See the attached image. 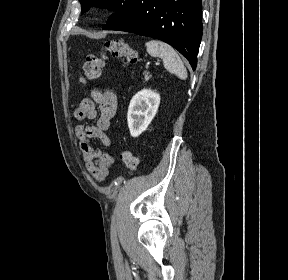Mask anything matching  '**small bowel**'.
<instances>
[{"label": "small bowel", "instance_id": "small-bowel-1", "mask_svg": "<svg viewBox=\"0 0 288 280\" xmlns=\"http://www.w3.org/2000/svg\"><path fill=\"white\" fill-rule=\"evenodd\" d=\"M96 106L99 109V115ZM117 112V97L108 90H93L90 97L83 98L75 110L78 121L97 120L96 125L79 124L76 134L87 171L97 181L104 180L113 166L115 159L109 152L113 142L107 135L111 121ZM92 139H98L102 148H95Z\"/></svg>", "mask_w": 288, "mask_h": 280}]
</instances>
